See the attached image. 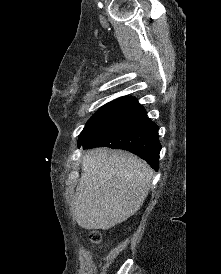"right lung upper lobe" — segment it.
<instances>
[{
  "instance_id": "1",
  "label": "right lung upper lobe",
  "mask_w": 221,
  "mask_h": 274,
  "mask_svg": "<svg viewBox=\"0 0 221 274\" xmlns=\"http://www.w3.org/2000/svg\"><path fill=\"white\" fill-rule=\"evenodd\" d=\"M117 100H129V101H136V99L135 98H133V97H121V98H118Z\"/></svg>"
}]
</instances>
